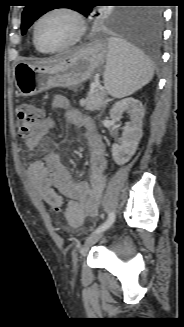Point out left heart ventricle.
I'll list each match as a JSON object with an SVG mask.
<instances>
[{"label": "left heart ventricle", "mask_w": 184, "mask_h": 327, "mask_svg": "<svg viewBox=\"0 0 184 327\" xmlns=\"http://www.w3.org/2000/svg\"><path fill=\"white\" fill-rule=\"evenodd\" d=\"M76 32V24L69 15L54 13L40 22L37 36L42 46L56 48L72 40Z\"/></svg>", "instance_id": "1"}]
</instances>
